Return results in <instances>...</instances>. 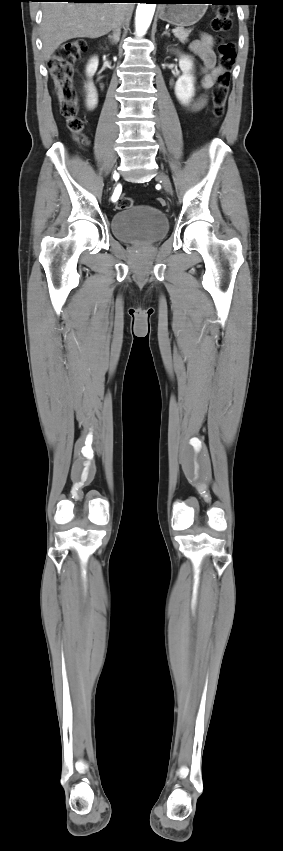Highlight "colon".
Segmentation results:
<instances>
[{
	"mask_svg": "<svg viewBox=\"0 0 283 851\" xmlns=\"http://www.w3.org/2000/svg\"><path fill=\"white\" fill-rule=\"evenodd\" d=\"M211 26L218 34L220 72L212 94V112L214 118L218 119L224 115L230 88L231 71L236 58L235 44L228 38L232 28L230 10L227 7H219L212 19ZM86 49V42L83 39L69 40L59 46L47 62L67 128L75 140L83 146L87 145L88 141L83 134V121L78 116L77 93L72 77L74 64L81 58ZM157 203L160 206L166 205L163 198H157ZM132 205L133 200L125 195L119 196L115 202L117 209H126Z\"/></svg>",
	"mask_w": 283,
	"mask_h": 851,
	"instance_id": "obj_1",
	"label": "colon"
}]
</instances>
